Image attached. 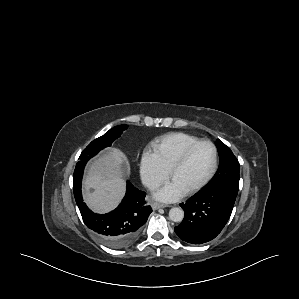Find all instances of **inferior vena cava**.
Returning <instances> with one entry per match:
<instances>
[{
	"instance_id": "602c4592",
	"label": "inferior vena cava",
	"mask_w": 299,
	"mask_h": 299,
	"mask_svg": "<svg viewBox=\"0 0 299 299\" xmlns=\"http://www.w3.org/2000/svg\"><path fill=\"white\" fill-rule=\"evenodd\" d=\"M144 184L151 189H154L156 187H158V182L151 180V179H147L145 180Z\"/></svg>"
}]
</instances>
